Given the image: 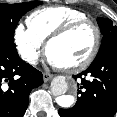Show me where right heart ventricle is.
<instances>
[{"label": "right heart ventricle", "mask_w": 117, "mask_h": 117, "mask_svg": "<svg viewBox=\"0 0 117 117\" xmlns=\"http://www.w3.org/2000/svg\"><path fill=\"white\" fill-rule=\"evenodd\" d=\"M82 19L87 15L67 6H50L32 12L26 19L28 29L42 42L64 25Z\"/></svg>", "instance_id": "1"}]
</instances>
